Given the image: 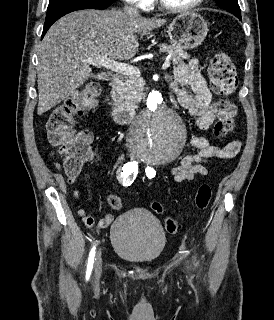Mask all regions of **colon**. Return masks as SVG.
I'll return each instance as SVG.
<instances>
[{
	"label": "colon",
	"mask_w": 274,
	"mask_h": 320,
	"mask_svg": "<svg viewBox=\"0 0 274 320\" xmlns=\"http://www.w3.org/2000/svg\"><path fill=\"white\" fill-rule=\"evenodd\" d=\"M209 77L212 88L222 99L219 103L218 120L216 123V137L222 138L235 130L233 118L236 113L235 105L229 100L237 87V72L234 62L228 52L216 50L210 60ZM97 88L92 85L83 87L73 98L58 105L52 111L48 120L49 139L59 143L63 158L64 170L68 177L73 178L80 172L83 164L88 161L93 152L94 137L90 131H75L73 125L83 109L95 107ZM212 190L209 185H201L194 197V206L206 209L211 200ZM112 209L119 211L123 208L122 200L116 196L111 198ZM151 210L165 213L162 204L151 201ZM164 226L168 233L174 234L178 224L169 216L165 217Z\"/></svg>",
	"instance_id": "1"
}]
</instances>
